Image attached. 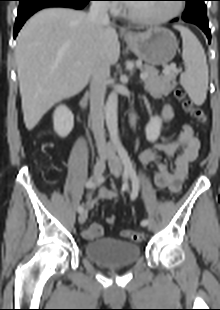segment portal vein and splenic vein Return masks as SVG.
<instances>
[{"instance_id":"portal-vein-and-splenic-vein-1","label":"portal vein and splenic vein","mask_w":220,"mask_h":310,"mask_svg":"<svg viewBox=\"0 0 220 310\" xmlns=\"http://www.w3.org/2000/svg\"><path fill=\"white\" fill-rule=\"evenodd\" d=\"M169 71H176V72H178V70L176 69V65H175V64H171L169 67H167V68L165 69L164 72H169ZM147 77H148V74L145 73V72H143V73L140 74V78H141L142 80L146 79Z\"/></svg>"}]
</instances>
